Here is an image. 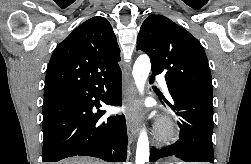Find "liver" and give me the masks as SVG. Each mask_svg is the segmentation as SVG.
Masks as SVG:
<instances>
[{"mask_svg": "<svg viewBox=\"0 0 251 164\" xmlns=\"http://www.w3.org/2000/svg\"><path fill=\"white\" fill-rule=\"evenodd\" d=\"M58 164H106V163L89 157H74L66 159Z\"/></svg>", "mask_w": 251, "mask_h": 164, "instance_id": "obj_1", "label": "liver"}]
</instances>
